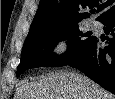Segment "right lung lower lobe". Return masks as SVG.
<instances>
[{"mask_svg": "<svg viewBox=\"0 0 115 99\" xmlns=\"http://www.w3.org/2000/svg\"><path fill=\"white\" fill-rule=\"evenodd\" d=\"M108 44L100 47L101 41L94 36L80 55L69 65L80 69L90 79L115 94V11L108 13L101 20Z\"/></svg>", "mask_w": 115, "mask_h": 99, "instance_id": "obj_1", "label": "right lung lower lobe"}]
</instances>
